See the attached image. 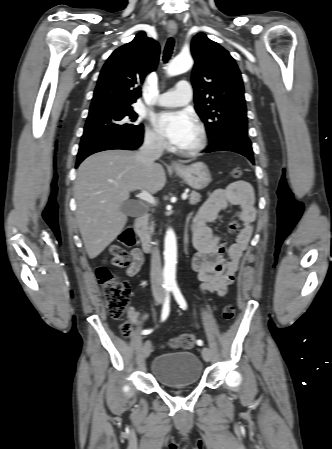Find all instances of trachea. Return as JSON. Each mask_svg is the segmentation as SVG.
Here are the masks:
<instances>
[{"label":"trachea","mask_w":332,"mask_h":449,"mask_svg":"<svg viewBox=\"0 0 332 449\" xmlns=\"http://www.w3.org/2000/svg\"><path fill=\"white\" fill-rule=\"evenodd\" d=\"M174 44H175V42H174L173 38H169L167 40V43H166L165 49H164V53H163L164 63H167L168 60L170 59L172 52H173Z\"/></svg>","instance_id":"1"}]
</instances>
